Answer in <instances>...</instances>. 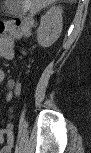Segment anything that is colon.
Here are the masks:
<instances>
[{
    "instance_id": "1",
    "label": "colon",
    "mask_w": 91,
    "mask_h": 153,
    "mask_svg": "<svg viewBox=\"0 0 91 153\" xmlns=\"http://www.w3.org/2000/svg\"><path fill=\"white\" fill-rule=\"evenodd\" d=\"M32 24H33L32 18L31 17H26L24 19L17 20L16 24L12 23L10 26H6V30L8 32L5 33L4 35H2L1 45L10 47L12 45L13 39L16 38V37H13L12 32L9 31V29L11 27L14 28V29H18V28L28 29L32 26Z\"/></svg>"
}]
</instances>
